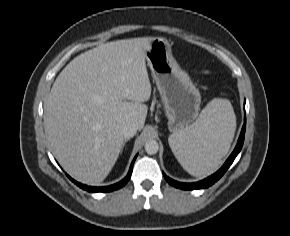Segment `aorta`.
Masks as SVG:
<instances>
[{
    "mask_svg": "<svg viewBox=\"0 0 290 236\" xmlns=\"http://www.w3.org/2000/svg\"><path fill=\"white\" fill-rule=\"evenodd\" d=\"M144 148L147 154L153 155L158 152L159 144L156 140L150 139L145 143Z\"/></svg>",
    "mask_w": 290,
    "mask_h": 236,
    "instance_id": "aorta-1",
    "label": "aorta"
}]
</instances>
